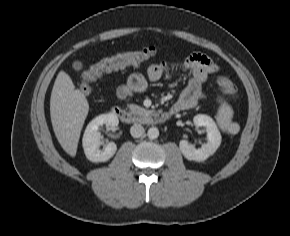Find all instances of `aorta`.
Returning <instances> with one entry per match:
<instances>
[{
  "label": "aorta",
  "instance_id": "obj_1",
  "mask_svg": "<svg viewBox=\"0 0 290 236\" xmlns=\"http://www.w3.org/2000/svg\"><path fill=\"white\" fill-rule=\"evenodd\" d=\"M147 135L149 139H156L159 136V130L156 127H151L148 129Z\"/></svg>",
  "mask_w": 290,
  "mask_h": 236
}]
</instances>
